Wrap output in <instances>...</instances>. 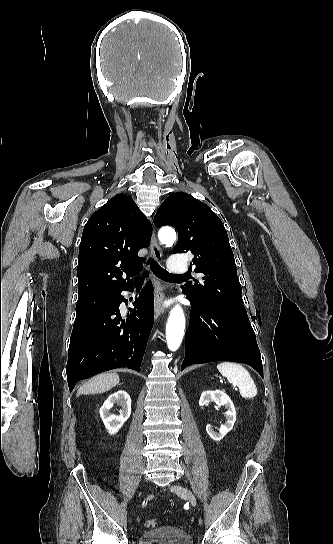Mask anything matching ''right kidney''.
<instances>
[{
	"instance_id": "1",
	"label": "right kidney",
	"mask_w": 333,
	"mask_h": 544,
	"mask_svg": "<svg viewBox=\"0 0 333 544\" xmlns=\"http://www.w3.org/2000/svg\"><path fill=\"white\" fill-rule=\"evenodd\" d=\"M115 403L122 407L119 411V415L110 413V410ZM99 413L109 434L113 435L117 433L131 415L130 396L124 390H119L109 395L100 408Z\"/></svg>"
}]
</instances>
